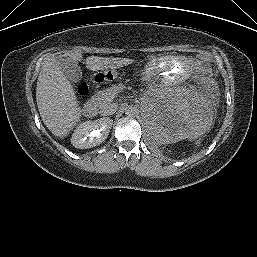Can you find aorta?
Listing matches in <instances>:
<instances>
[{
	"instance_id": "1",
	"label": "aorta",
	"mask_w": 257,
	"mask_h": 257,
	"mask_svg": "<svg viewBox=\"0 0 257 257\" xmlns=\"http://www.w3.org/2000/svg\"><path fill=\"white\" fill-rule=\"evenodd\" d=\"M124 111L128 117H135L138 114V109L135 105H127Z\"/></svg>"
}]
</instances>
